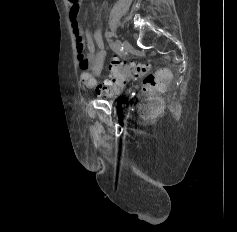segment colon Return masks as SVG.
Masks as SVG:
<instances>
[{"instance_id": "obj_1", "label": "colon", "mask_w": 237, "mask_h": 232, "mask_svg": "<svg viewBox=\"0 0 237 232\" xmlns=\"http://www.w3.org/2000/svg\"><path fill=\"white\" fill-rule=\"evenodd\" d=\"M108 68L111 78L104 85L101 84L99 86L119 91L126 85L130 74L143 77V100L139 106L141 117L146 121H151L161 112L162 103L158 95L165 91L170 80L171 75L167 69L149 73L148 64L139 62L127 63L119 58H114L109 63ZM82 80L87 86H90L94 78L90 74L84 73Z\"/></svg>"}]
</instances>
